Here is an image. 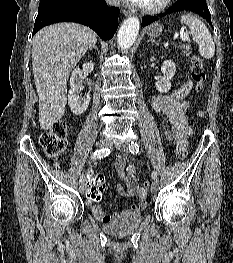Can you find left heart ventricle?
Segmentation results:
<instances>
[{"label":"left heart ventricle","instance_id":"1","mask_svg":"<svg viewBox=\"0 0 233 263\" xmlns=\"http://www.w3.org/2000/svg\"><path fill=\"white\" fill-rule=\"evenodd\" d=\"M161 0H142L140 5L143 6H154L158 3H160Z\"/></svg>","mask_w":233,"mask_h":263}]
</instances>
